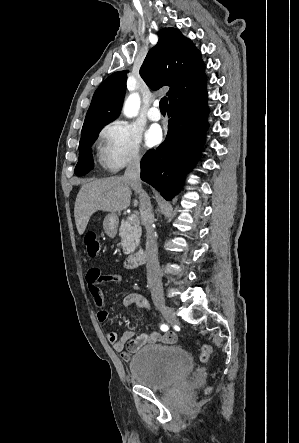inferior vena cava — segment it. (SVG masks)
Instances as JSON below:
<instances>
[{
	"mask_svg": "<svg viewBox=\"0 0 299 443\" xmlns=\"http://www.w3.org/2000/svg\"><path fill=\"white\" fill-rule=\"evenodd\" d=\"M140 171V156H135L124 173V179L129 181L133 190L139 195L141 221L146 229L147 281L152 297H159L163 295V285L158 261L157 238L153 228L154 215L150 198L142 189Z\"/></svg>",
	"mask_w": 299,
	"mask_h": 443,
	"instance_id": "obj_1",
	"label": "inferior vena cava"
}]
</instances>
